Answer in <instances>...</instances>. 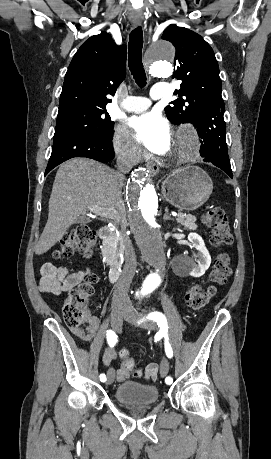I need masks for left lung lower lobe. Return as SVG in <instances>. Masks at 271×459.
I'll return each instance as SVG.
<instances>
[{"label":"left lung lower lobe","mask_w":271,"mask_h":459,"mask_svg":"<svg viewBox=\"0 0 271 459\" xmlns=\"http://www.w3.org/2000/svg\"><path fill=\"white\" fill-rule=\"evenodd\" d=\"M199 137L203 139L200 155L203 161L211 162L233 178L226 144V124L223 117L203 123L197 127Z\"/></svg>","instance_id":"0a47b994"}]
</instances>
